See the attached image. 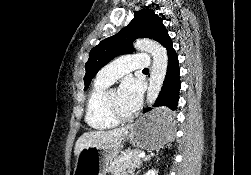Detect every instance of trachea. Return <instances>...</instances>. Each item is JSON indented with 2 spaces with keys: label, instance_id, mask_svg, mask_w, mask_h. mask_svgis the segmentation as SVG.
Here are the masks:
<instances>
[{
  "label": "trachea",
  "instance_id": "obj_1",
  "mask_svg": "<svg viewBox=\"0 0 251 175\" xmlns=\"http://www.w3.org/2000/svg\"><path fill=\"white\" fill-rule=\"evenodd\" d=\"M144 71L149 72V69H148V68H144V69H143V72H144Z\"/></svg>",
  "mask_w": 251,
  "mask_h": 175
}]
</instances>
